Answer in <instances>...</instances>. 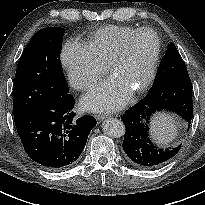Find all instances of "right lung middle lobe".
Masks as SVG:
<instances>
[{
    "label": "right lung middle lobe",
    "mask_w": 205,
    "mask_h": 205,
    "mask_svg": "<svg viewBox=\"0 0 205 205\" xmlns=\"http://www.w3.org/2000/svg\"><path fill=\"white\" fill-rule=\"evenodd\" d=\"M64 32L59 27L41 29L25 47L13 85L16 126L40 106L68 94L59 59Z\"/></svg>",
    "instance_id": "right-lung-middle-lobe-1"
}]
</instances>
